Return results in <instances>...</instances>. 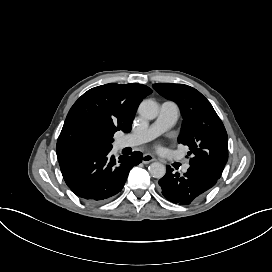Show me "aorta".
I'll list each match as a JSON object with an SVG mask.
<instances>
[{
  "label": "aorta",
  "mask_w": 272,
  "mask_h": 272,
  "mask_svg": "<svg viewBox=\"0 0 272 272\" xmlns=\"http://www.w3.org/2000/svg\"><path fill=\"white\" fill-rule=\"evenodd\" d=\"M138 113L146 119H154L158 115V104L152 99H145L138 108ZM149 173L152 177L160 179L166 173L165 165L160 162H153L149 166Z\"/></svg>",
  "instance_id": "obj_1"
}]
</instances>
